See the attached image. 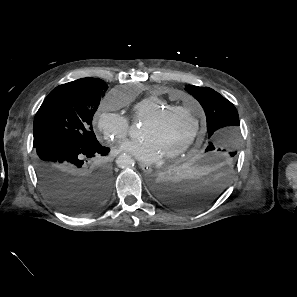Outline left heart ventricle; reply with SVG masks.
Returning <instances> with one entry per match:
<instances>
[{"label": "left heart ventricle", "mask_w": 297, "mask_h": 297, "mask_svg": "<svg viewBox=\"0 0 297 297\" xmlns=\"http://www.w3.org/2000/svg\"><path fill=\"white\" fill-rule=\"evenodd\" d=\"M194 128L192 117L183 112H175L155 124L143 123L141 138H151L159 146L163 155L180 147L191 135Z\"/></svg>", "instance_id": "1"}]
</instances>
